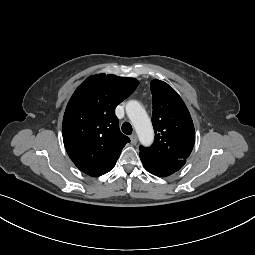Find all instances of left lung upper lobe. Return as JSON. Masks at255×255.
<instances>
[{"label":"left lung upper lobe","mask_w":255,"mask_h":255,"mask_svg":"<svg viewBox=\"0 0 255 255\" xmlns=\"http://www.w3.org/2000/svg\"><path fill=\"white\" fill-rule=\"evenodd\" d=\"M150 87L155 139L149 148L140 146V157L158 165L186 162L195 142L190 113L178 93L167 83L155 79Z\"/></svg>","instance_id":"1"}]
</instances>
